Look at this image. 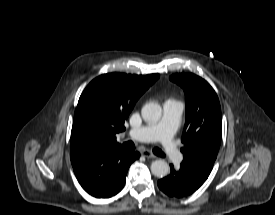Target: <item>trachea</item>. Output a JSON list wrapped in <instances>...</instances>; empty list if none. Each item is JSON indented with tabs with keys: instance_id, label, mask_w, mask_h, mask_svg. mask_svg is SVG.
<instances>
[{
	"instance_id": "1",
	"label": "trachea",
	"mask_w": 275,
	"mask_h": 215,
	"mask_svg": "<svg viewBox=\"0 0 275 215\" xmlns=\"http://www.w3.org/2000/svg\"><path fill=\"white\" fill-rule=\"evenodd\" d=\"M124 146L127 148V149H130V150H134L135 149V145L132 141H127L124 143ZM153 153L157 156H160V157H165V154L162 152L161 149L159 148H154L153 149Z\"/></svg>"
}]
</instances>
